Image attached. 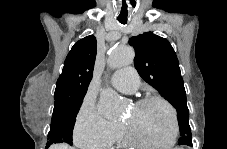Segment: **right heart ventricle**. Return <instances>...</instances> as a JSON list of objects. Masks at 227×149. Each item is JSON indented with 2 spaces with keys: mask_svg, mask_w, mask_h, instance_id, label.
Returning a JSON list of instances; mask_svg holds the SVG:
<instances>
[{
  "mask_svg": "<svg viewBox=\"0 0 227 149\" xmlns=\"http://www.w3.org/2000/svg\"><path fill=\"white\" fill-rule=\"evenodd\" d=\"M121 145H135L131 138L128 136L127 132L122 128L121 134L118 138Z\"/></svg>",
  "mask_w": 227,
  "mask_h": 149,
  "instance_id": "right-heart-ventricle-1",
  "label": "right heart ventricle"
}]
</instances>
